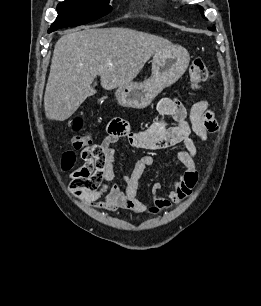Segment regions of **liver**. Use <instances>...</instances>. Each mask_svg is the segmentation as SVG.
<instances>
[{
    "label": "liver",
    "instance_id": "liver-1",
    "mask_svg": "<svg viewBox=\"0 0 261 306\" xmlns=\"http://www.w3.org/2000/svg\"><path fill=\"white\" fill-rule=\"evenodd\" d=\"M172 43L129 28H93L63 35L54 47L44 95L49 120L71 117L87 97L99 75L106 90L129 84L145 63Z\"/></svg>",
    "mask_w": 261,
    "mask_h": 306
}]
</instances>
